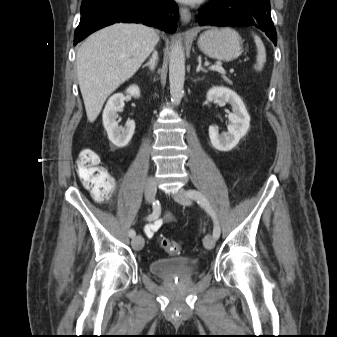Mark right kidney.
<instances>
[{
  "label": "right kidney",
  "instance_id": "obj_1",
  "mask_svg": "<svg viewBox=\"0 0 337 337\" xmlns=\"http://www.w3.org/2000/svg\"><path fill=\"white\" fill-rule=\"evenodd\" d=\"M126 93L134 98L140 96L139 87L136 85L130 86ZM124 100L122 93L114 94L107 101L103 111V125L107 131L108 138L118 148L127 146L135 131V122L133 120H128L125 127L118 126V112L123 110Z\"/></svg>",
  "mask_w": 337,
  "mask_h": 337
}]
</instances>
